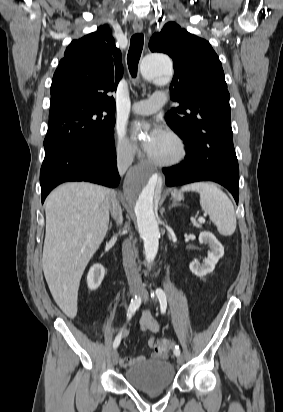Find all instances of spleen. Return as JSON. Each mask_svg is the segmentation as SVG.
Here are the masks:
<instances>
[{
    "label": "spleen",
    "instance_id": "spleen-1",
    "mask_svg": "<svg viewBox=\"0 0 283 412\" xmlns=\"http://www.w3.org/2000/svg\"><path fill=\"white\" fill-rule=\"evenodd\" d=\"M181 191H196L200 195L203 211L209 215L218 232L230 236L236 229V215L232 202L218 187L208 182L185 185Z\"/></svg>",
    "mask_w": 283,
    "mask_h": 412
}]
</instances>
